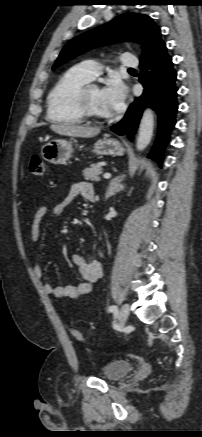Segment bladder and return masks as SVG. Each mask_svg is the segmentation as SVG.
<instances>
[{"instance_id":"1","label":"bladder","mask_w":202,"mask_h":437,"mask_svg":"<svg viewBox=\"0 0 202 437\" xmlns=\"http://www.w3.org/2000/svg\"><path fill=\"white\" fill-rule=\"evenodd\" d=\"M133 369V364L128 360H112L102 368V377L109 381L124 378Z\"/></svg>"}]
</instances>
